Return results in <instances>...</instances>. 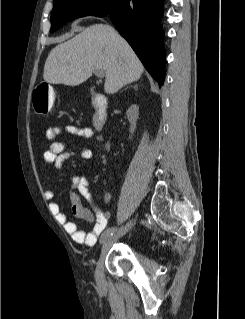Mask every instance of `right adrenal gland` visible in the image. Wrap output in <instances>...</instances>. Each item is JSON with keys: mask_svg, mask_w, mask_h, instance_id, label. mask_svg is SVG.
Listing matches in <instances>:
<instances>
[{"mask_svg": "<svg viewBox=\"0 0 245 319\" xmlns=\"http://www.w3.org/2000/svg\"><path fill=\"white\" fill-rule=\"evenodd\" d=\"M133 88H134L135 90H137V89H138V85L133 86Z\"/></svg>", "mask_w": 245, "mask_h": 319, "instance_id": "2a0ac1e0", "label": "right adrenal gland"}]
</instances>
